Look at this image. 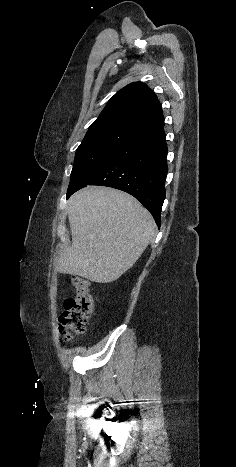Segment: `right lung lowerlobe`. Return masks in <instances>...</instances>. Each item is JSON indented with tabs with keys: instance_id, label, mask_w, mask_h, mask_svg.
I'll return each mask as SVG.
<instances>
[{
	"instance_id": "obj_1",
	"label": "right lung lower lobe",
	"mask_w": 236,
	"mask_h": 467,
	"mask_svg": "<svg viewBox=\"0 0 236 467\" xmlns=\"http://www.w3.org/2000/svg\"><path fill=\"white\" fill-rule=\"evenodd\" d=\"M164 123L139 133L92 166L68 187L67 198L87 185L123 190L138 199L160 226L168 172Z\"/></svg>"
}]
</instances>
